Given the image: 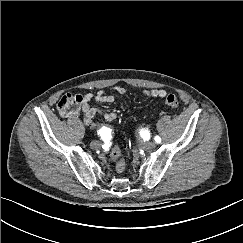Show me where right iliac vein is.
Returning <instances> with one entry per match:
<instances>
[{
	"label": "right iliac vein",
	"instance_id": "obj_1",
	"mask_svg": "<svg viewBox=\"0 0 243 243\" xmlns=\"http://www.w3.org/2000/svg\"><path fill=\"white\" fill-rule=\"evenodd\" d=\"M100 142L99 141H96V140H94V141H92L91 143H90V147L92 148V149H97V148H99L100 147Z\"/></svg>",
	"mask_w": 243,
	"mask_h": 243
}]
</instances>
